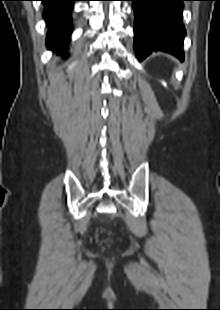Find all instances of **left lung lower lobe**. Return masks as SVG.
<instances>
[{
	"instance_id": "0a47b994",
	"label": "left lung lower lobe",
	"mask_w": 220,
	"mask_h": 310,
	"mask_svg": "<svg viewBox=\"0 0 220 310\" xmlns=\"http://www.w3.org/2000/svg\"><path fill=\"white\" fill-rule=\"evenodd\" d=\"M135 12L134 49L139 61L153 51L170 53L184 59L185 28L182 23L183 1L129 0Z\"/></svg>"
}]
</instances>
